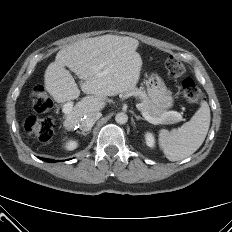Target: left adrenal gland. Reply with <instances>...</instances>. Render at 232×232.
<instances>
[{"mask_svg":"<svg viewBox=\"0 0 232 232\" xmlns=\"http://www.w3.org/2000/svg\"><path fill=\"white\" fill-rule=\"evenodd\" d=\"M134 117L136 118V120H145L143 117H141V116H138V115H134Z\"/></svg>","mask_w":232,"mask_h":232,"instance_id":"a2214340","label":"left adrenal gland"}]
</instances>
